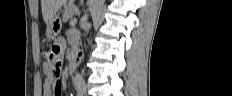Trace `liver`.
<instances>
[{"instance_id": "obj_1", "label": "liver", "mask_w": 232, "mask_h": 96, "mask_svg": "<svg viewBox=\"0 0 232 96\" xmlns=\"http://www.w3.org/2000/svg\"><path fill=\"white\" fill-rule=\"evenodd\" d=\"M65 0H42V15L45 23L48 25L52 22L55 17V14L64 4Z\"/></svg>"}]
</instances>
